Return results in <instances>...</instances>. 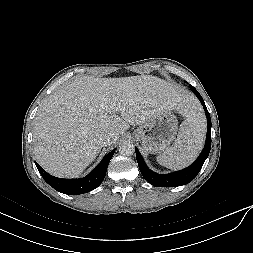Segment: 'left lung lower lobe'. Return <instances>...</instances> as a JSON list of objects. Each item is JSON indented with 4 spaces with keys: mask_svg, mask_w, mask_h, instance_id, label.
<instances>
[{
    "mask_svg": "<svg viewBox=\"0 0 253 253\" xmlns=\"http://www.w3.org/2000/svg\"><path fill=\"white\" fill-rule=\"evenodd\" d=\"M190 88L193 91V93L198 97L200 102L202 103L206 117H207L208 127H207V137H206L204 149L202 150V152L199 155V157L197 158V160L189 167H187L183 170L174 172V173H170L167 175H161V174L154 173L146 166L140 152L136 148V159H137L141 174L153 186H156V187H176V186L188 184L197 176V174L201 170L206 158L209 155L210 148H211V118H210V114L206 108L203 98L198 93V91L191 85H190Z\"/></svg>",
    "mask_w": 253,
    "mask_h": 253,
    "instance_id": "obj_1",
    "label": "left lung lower lobe"
}]
</instances>
